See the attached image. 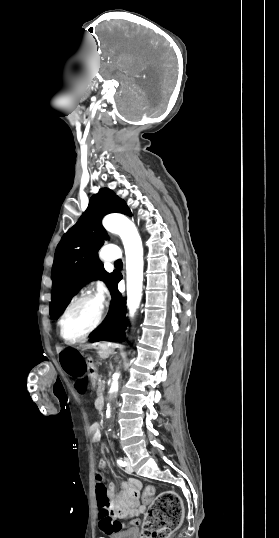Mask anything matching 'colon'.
<instances>
[{"label":"colon","instance_id":"colon-1","mask_svg":"<svg viewBox=\"0 0 279 538\" xmlns=\"http://www.w3.org/2000/svg\"><path fill=\"white\" fill-rule=\"evenodd\" d=\"M96 500L101 517H110L114 510L108 489L103 483V477L96 475ZM154 488L146 487L144 497L151 501L148 514L142 527V538H168L181 524L183 517V503L174 491H164L154 496Z\"/></svg>","mask_w":279,"mask_h":538}]
</instances>
